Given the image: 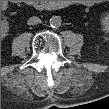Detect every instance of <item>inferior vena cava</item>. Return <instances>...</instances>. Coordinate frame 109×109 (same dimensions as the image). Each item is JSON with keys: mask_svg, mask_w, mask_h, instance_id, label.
Segmentation results:
<instances>
[{"mask_svg": "<svg viewBox=\"0 0 109 109\" xmlns=\"http://www.w3.org/2000/svg\"><path fill=\"white\" fill-rule=\"evenodd\" d=\"M27 23H28V25H36V24L41 23V20H40V18L34 16V17H30L28 19Z\"/></svg>", "mask_w": 109, "mask_h": 109, "instance_id": "1", "label": "inferior vena cava"}]
</instances>
